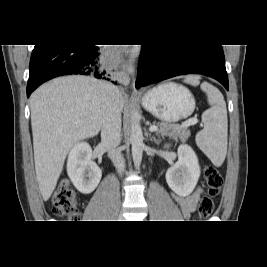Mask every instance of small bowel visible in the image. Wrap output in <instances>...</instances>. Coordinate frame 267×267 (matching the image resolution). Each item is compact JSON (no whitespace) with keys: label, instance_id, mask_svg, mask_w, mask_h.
Segmentation results:
<instances>
[{"label":"small bowel","instance_id":"1","mask_svg":"<svg viewBox=\"0 0 267 267\" xmlns=\"http://www.w3.org/2000/svg\"><path fill=\"white\" fill-rule=\"evenodd\" d=\"M202 190L197 188L193 193L187 196L174 194L173 198L179 206L183 216L189 218L196 209Z\"/></svg>","mask_w":267,"mask_h":267}]
</instances>
